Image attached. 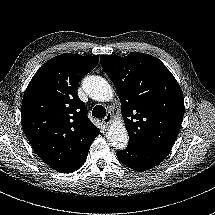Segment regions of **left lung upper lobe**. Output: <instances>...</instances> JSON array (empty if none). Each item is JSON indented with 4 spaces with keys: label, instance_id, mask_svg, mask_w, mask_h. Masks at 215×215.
<instances>
[{
    "label": "left lung upper lobe",
    "instance_id": "5c2ea615",
    "mask_svg": "<svg viewBox=\"0 0 215 215\" xmlns=\"http://www.w3.org/2000/svg\"><path fill=\"white\" fill-rule=\"evenodd\" d=\"M100 63L120 97L129 145L172 146L183 120L184 99L166 66L138 52L101 55Z\"/></svg>",
    "mask_w": 215,
    "mask_h": 215
}]
</instances>
